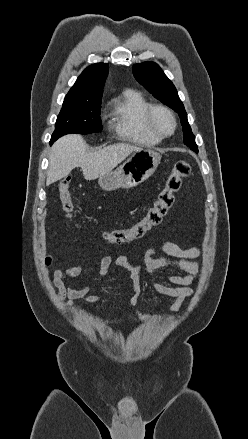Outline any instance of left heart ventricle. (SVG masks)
Wrapping results in <instances>:
<instances>
[{"instance_id":"obj_1","label":"left heart ventricle","mask_w":248,"mask_h":439,"mask_svg":"<svg viewBox=\"0 0 248 439\" xmlns=\"http://www.w3.org/2000/svg\"><path fill=\"white\" fill-rule=\"evenodd\" d=\"M155 123L157 128L164 133H168L172 129V122L168 115L164 112L160 111L156 113Z\"/></svg>"}]
</instances>
